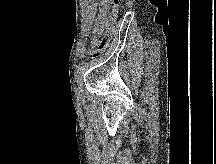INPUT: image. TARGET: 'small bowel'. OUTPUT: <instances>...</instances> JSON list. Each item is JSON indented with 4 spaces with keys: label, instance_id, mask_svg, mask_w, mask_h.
I'll use <instances>...</instances> for the list:
<instances>
[{
    "label": "small bowel",
    "instance_id": "obj_1",
    "mask_svg": "<svg viewBox=\"0 0 216 164\" xmlns=\"http://www.w3.org/2000/svg\"><path fill=\"white\" fill-rule=\"evenodd\" d=\"M111 0H101L100 7H99V16L96 21V26L102 24L106 20V14L109 10V4Z\"/></svg>",
    "mask_w": 216,
    "mask_h": 164
}]
</instances>
